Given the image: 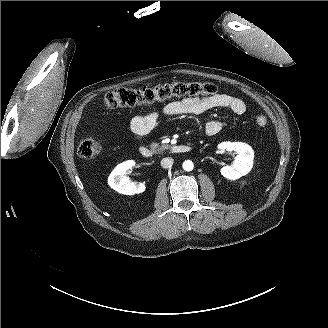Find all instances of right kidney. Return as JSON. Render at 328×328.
Listing matches in <instances>:
<instances>
[{"label": "right kidney", "mask_w": 328, "mask_h": 328, "mask_svg": "<svg viewBox=\"0 0 328 328\" xmlns=\"http://www.w3.org/2000/svg\"><path fill=\"white\" fill-rule=\"evenodd\" d=\"M135 167L134 161H126L114 168L108 177V185L115 191L132 196L143 193L146 190L144 183H136L128 177H124L127 172H132Z\"/></svg>", "instance_id": "ca27d5eb"}]
</instances>
